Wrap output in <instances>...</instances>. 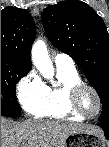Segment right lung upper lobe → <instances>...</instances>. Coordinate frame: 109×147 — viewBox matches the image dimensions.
Here are the masks:
<instances>
[{"label": "right lung upper lobe", "mask_w": 109, "mask_h": 147, "mask_svg": "<svg viewBox=\"0 0 109 147\" xmlns=\"http://www.w3.org/2000/svg\"><path fill=\"white\" fill-rule=\"evenodd\" d=\"M35 33V22L27 10L16 7L1 10V57L31 69Z\"/></svg>", "instance_id": "1"}]
</instances>
